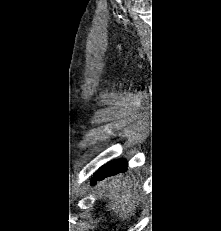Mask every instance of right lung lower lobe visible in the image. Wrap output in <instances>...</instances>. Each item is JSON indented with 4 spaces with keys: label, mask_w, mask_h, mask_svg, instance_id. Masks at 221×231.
Instances as JSON below:
<instances>
[{
    "label": "right lung lower lobe",
    "mask_w": 221,
    "mask_h": 231,
    "mask_svg": "<svg viewBox=\"0 0 221 231\" xmlns=\"http://www.w3.org/2000/svg\"><path fill=\"white\" fill-rule=\"evenodd\" d=\"M127 169V163L124 159H119L102 166L94 175L92 183L103 180L105 177L113 176L118 173H123Z\"/></svg>",
    "instance_id": "right-lung-lower-lobe-1"
}]
</instances>
